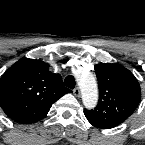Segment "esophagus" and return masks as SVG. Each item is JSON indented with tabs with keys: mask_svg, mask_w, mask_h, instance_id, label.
<instances>
[{
	"mask_svg": "<svg viewBox=\"0 0 145 145\" xmlns=\"http://www.w3.org/2000/svg\"><path fill=\"white\" fill-rule=\"evenodd\" d=\"M73 94H74L76 97H80V95H81L80 89H79V88H75V89L73 90Z\"/></svg>",
	"mask_w": 145,
	"mask_h": 145,
	"instance_id": "34e87169",
	"label": "esophagus"
}]
</instances>
